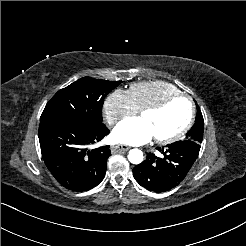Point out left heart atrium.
Here are the masks:
<instances>
[{
  "instance_id": "39dd6f15",
  "label": "left heart atrium",
  "mask_w": 246,
  "mask_h": 246,
  "mask_svg": "<svg viewBox=\"0 0 246 246\" xmlns=\"http://www.w3.org/2000/svg\"><path fill=\"white\" fill-rule=\"evenodd\" d=\"M153 133L146 123L138 117L120 122L113 132V139L117 143L141 145L153 138Z\"/></svg>"
}]
</instances>
